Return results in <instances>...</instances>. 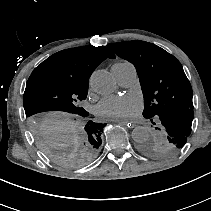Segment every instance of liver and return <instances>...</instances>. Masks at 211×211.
Instances as JSON below:
<instances>
[{"label": "liver", "instance_id": "liver-1", "mask_svg": "<svg viewBox=\"0 0 211 211\" xmlns=\"http://www.w3.org/2000/svg\"><path fill=\"white\" fill-rule=\"evenodd\" d=\"M48 116L50 118V121H49L50 124H55L58 119H64L65 120V123H67V124L69 122L68 119H67V117L69 115L68 114H65V113L54 112V113L48 114Z\"/></svg>", "mask_w": 211, "mask_h": 211}]
</instances>
